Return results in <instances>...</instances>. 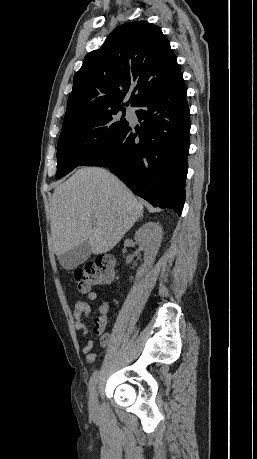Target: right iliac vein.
Masks as SVG:
<instances>
[{"label": "right iliac vein", "mask_w": 257, "mask_h": 459, "mask_svg": "<svg viewBox=\"0 0 257 459\" xmlns=\"http://www.w3.org/2000/svg\"><path fill=\"white\" fill-rule=\"evenodd\" d=\"M89 406L92 410H94L97 406V392H96V388L94 387L93 389H91L90 391V395H89Z\"/></svg>", "instance_id": "1"}]
</instances>
